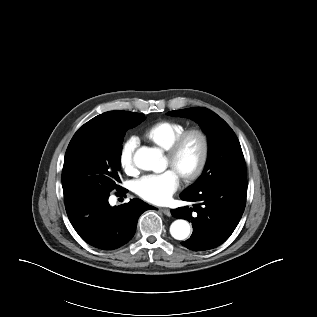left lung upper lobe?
<instances>
[{
    "instance_id": "left-lung-upper-lobe-1",
    "label": "left lung upper lobe",
    "mask_w": 317,
    "mask_h": 317,
    "mask_svg": "<svg viewBox=\"0 0 317 317\" xmlns=\"http://www.w3.org/2000/svg\"><path fill=\"white\" fill-rule=\"evenodd\" d=\"M168 114L195 120L208 137L209 154L205 169L199 179L183 192L200 191L218 182L246 180V165L239 140L222 118L201 107L171 111Z\"/></svg>"
}]
</instances>
